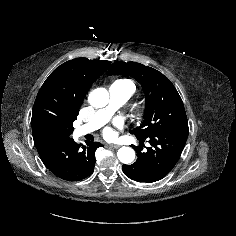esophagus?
Instances as JSON below:
<instances>
[{"label": "esophagus", "instance_id": "34e87169", "mask_svg": "<svg viewBox=\"0 0 236 236\" xmlns=\"http://www.w3.org/2000/svg\"><path fill=\"white\" fill-rule=\"evenodd\" d=\"M108 146L111 147V148H114V149H118L120 147L117 144H109Z\"/></svg>", "mask_w": 236, "mask_h": 236}]
</instances>
